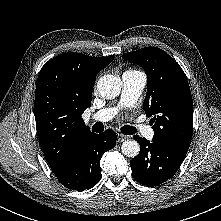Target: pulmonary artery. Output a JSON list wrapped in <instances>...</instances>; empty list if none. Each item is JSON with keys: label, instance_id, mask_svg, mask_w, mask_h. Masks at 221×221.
Wrapping results in <instances>:
<instances>
[{"label": "pulmonary artery", "instance_id": "obj_1", "mask_svg": "<svg viewBox=\"0 0 221 221\" xmlns=\"http://www.w3.org/2000/svg\"><path fill=\"white\" fill-rule=\"evenodd\" d=\"M122 83L120 105L131 106L140 97L146 84V76L140 71H126L122 75ZM116 113L117 109L115 107H107L93 114L89 121L106 122L112 119ZM136 129L149 140L153 138V131L146 125L140 124L136 126Z\"/></svg>", "mask_w": 221, "mask_h": 221}]
</instances>
